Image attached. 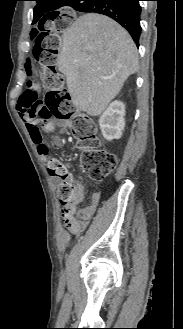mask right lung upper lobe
Returning <instances> with one entry per match:
<instances>
[{
    "label": "right lung upper lobe",
    "mask_w": 183,
    "mask_h": 329,
    "mask_svg": "<svg viewBox=\"0 0 183 329\" xmlns=\"http://www.w3.org/2000/svg\"><path fill=\"white\" fill-rule=\"evenodd\" d=\"M37 2L35 8H34V13L37 14L38 12L39 15H34V20L33 22H41L45 20L49 14L52 12H55L54 10L64 7V6H70V1L71 0H35Z\"/></svg>",
    "instance_id": "1"
}]
</instances>
